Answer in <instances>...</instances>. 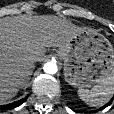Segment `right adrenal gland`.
Listing matches in <instances>:
<instances>
[{"instance_id":"obj_1","label":"right adrenal gland","mask_w":114,"mask_h":114,"mask_svg":"<svg viewBox=\"0 0 114 114\" xmlns=\"http://www.w3.org/2000/svg\"><path fill=\"white\" fill-rule=\"evenodd\" d=\"M32 73H33V72L30 73V76L28 77V80H30V77H31Z\"/></svg>"}]
</instances>
